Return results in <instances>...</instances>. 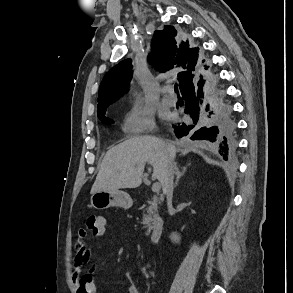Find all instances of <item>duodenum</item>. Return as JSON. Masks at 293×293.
<instances>
[{"mask_svg":"<svg viewBox=\"0 0 293 293\" xmlns=\"http://www.w3.org/2000/svg\"><path fill=\"white\" fill-rule=\"evenodd\" d=\"M164 225V219L159 215L155 216L150 235V239L153 244H157L159 242L164 230Z\"/></svg>","mask_w":293,"mask_h":293,"instance_id":"duodenum-1","label":"duodenum"}]
</instances>
